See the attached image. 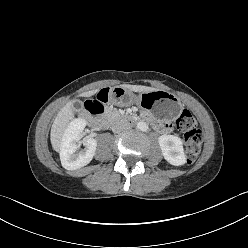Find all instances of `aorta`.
<instances>
[{"label": "aorta", "mask_w": 248, "mask_h": 248, "mask_svg": "<svg viewBox=\"0 0 248 248\" xmlns=\"http://www.w3.org/2000/svg\"><path fill=\"white\" fill-rule=\"evenodd\" d=\"M137 128L141 131H147L148 130V125L145 122H138L137 123Z\"/></svg>", "instance_id": "1"}]
</instances>
